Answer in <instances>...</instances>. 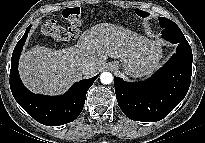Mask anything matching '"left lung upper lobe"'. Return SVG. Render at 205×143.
I'll return each instance as SVG.
<instances>
[{"mask_svg": "<svg viewBox=\"0 0 205 143\" xmlns=\"http://www.w3.org/2000/svg\"><path fill=\"white\" fill-rule=\"evenodd\" d=\"M158 19H159L160 26L162 28H174L177 26L174 22H172L167 18L159 17Z\"/></svg>", "mask_w": 205, "mask_h": 143, "instance_id": "1", "label": "left lung upper lobe"}]
</instances>
